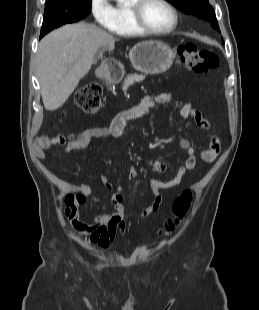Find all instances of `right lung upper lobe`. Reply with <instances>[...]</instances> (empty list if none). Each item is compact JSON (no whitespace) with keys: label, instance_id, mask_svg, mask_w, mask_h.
<instances>
[{"label":"right lung upper lobe","instance_id":"cb5924a9","mask_svg":"<svg viewBox=\"0 0 259 310\" xmlns=\"http://www.w3.org/2000/svg\"><path fill=\"white\" fill-rule=\"evenodd\" d=\"M66 1H85V0H46L45 4H54V3L66 2Z\"/></svg>","mask_w":259,"mask_h":310}]
</instances>
